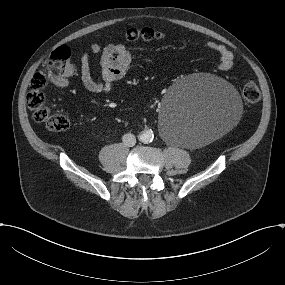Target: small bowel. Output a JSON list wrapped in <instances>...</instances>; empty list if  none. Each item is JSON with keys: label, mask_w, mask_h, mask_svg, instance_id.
<instances>
[{"label": "small bowel", "mask_w": 285, "mask_h": 285, "mask_svg": "<svg viewBox=\"0 0 285 285\" xmlns=\"http://www.w3.org/2000/svg\"><path fill=\"white\" fill-rule=\"evenodd\" d=\"M204 47L212 50L218 56L217 66L222 71H228L233 66V54L223 44L206 42ZM91 52L99 57L100 78H94L90 61V54L85 52L80 58V80L86 90L92 93L109 92L115 83L121 80L134 63L133 53L123 44L108 43L104 47L94 42L90 46ZM67 81L61 83L65 86Z\"/></svg>", "instance_id": "1"}]
</instances>
